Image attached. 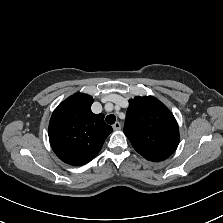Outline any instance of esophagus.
Returning <instances> with one entry per match:
<instances>
[{"instance_id": "1", "label": "esophagus", "mask_w": 223, "mask_h": 223, "mask_svg": "<svg viewBox=\"0 0 223 223\" xmlns=\"http://www.w3.org/2000/svg\"><path fill=\"white\" fill-rule=\"evenodd\" d=\"M112 128L114 130H120L121 129V124L119 122H116L115 124L112 125Z\"/></svg>"}]
</instances>
